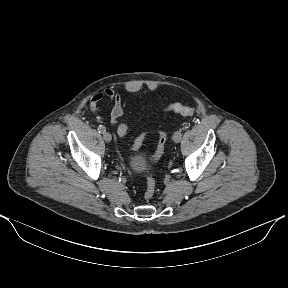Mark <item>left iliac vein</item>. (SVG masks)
<instances>
[{"mask_svg": "<svg viewBox=\"0 0 288 288\" xmlns=\"http://www.w3.org/2000/svg\"><path fill=\"white\" fill-rule=\"evenodd\" d=\"M179 131V130H178ZM178 131H176L174 134H173V140L174 142L178 143L181 141V138H182V134H180Z\"/></svg>", "mask_w": 288, "mask_h": 288, "instance_id": "left-iliac-vein-1", "label": "left iliac vein"}]
</instances>
